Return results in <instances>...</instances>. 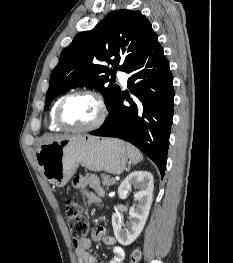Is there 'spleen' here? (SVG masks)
<instances>
[{
    "label": "spleen",
    "mask_w": 233,
    "mask_h": 263,
    "mask_svg": "<svg viewBox=\"0 0 233 263\" xmlns=\"http://www.w3.org/2000/svg\"><path fill=\"white\" fill-rule=\"evenodd\" d=\"M126 149L128 152L130 163H132L133 165H135L138 162H140L141 160H143V155L141 154V152L137 148L132 146L131 144L127 143Z\"/></svg>",
    "instance_id": "3e777b00"
}]
</instances>
